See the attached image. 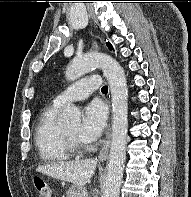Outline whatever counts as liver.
<instances>
[{"label": "liver", "instance_id": "obj_1", "mask_svg": "<svg viewBox=\"0 0 191 197\" xmlns=\"http://www.w3.org/2000/svg\"><path fill=\"white\" fill-rule=\"evenodd\" d=\"M96 165L97 160L95 158H89L71 162L41 165L37 168V171L53 178L84 187L93 176Z\"/></svg>", "mask_w": 191, "mask_h": 197}]
</instances>
